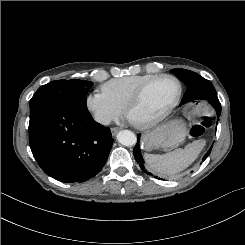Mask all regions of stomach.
<instances>
[{"instance_id": "1", "label": "stomach", "mask_w": 245, "mask_h": 245, "mask_svg": "<svg viewBox=\"0 0 245 245\" xmlns=\"http://www.w3.org/2000/svg\"><path fill=\"white\" fill-rule=\"evenodd\" d=\"M187 128L182 120L170 121L146 132L143 136L144 149L169 148L179 145L186 137Z\"/></svg>"}]
</instances>
